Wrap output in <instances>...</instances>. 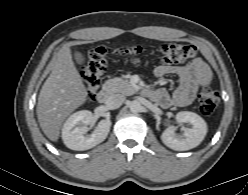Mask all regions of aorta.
<instances>
[{
	"mask_svg": "<svg viewBox=\"0 0 248 195\" xmlns=\"http://www.w3.org/2000/svg\"><path fill=\"white\" fill-rule=\"evenodd\" d=\"M129 108H130V111L133 112V113H138L141 111V103L137 100H133L130 102V105H129Z\"/></svg>",
	"mask_w": 248,
	"mask_h": 195,
	"instance_id": "762f6f07",
	"label": "aorta"
}]
</instances>
